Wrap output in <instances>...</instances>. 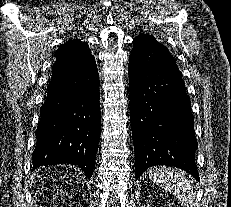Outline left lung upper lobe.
<instances>
[{
  "instance_id": "5c2ea615",
  "label": "left lung upper lobe",
  "mask_w": 231,
  "mask_h": 207,
  "mask_svg": "<svg viewBox=\"0 0 231 207\" xmlns=\"http://www.w3.org/2000/svg\"><path fill=\"white\" fill-rule=\"evenodd\" d=\"M136 38L145 39V38H154V37L147 34H140Z\"/></svg>"
}]
</instances>
